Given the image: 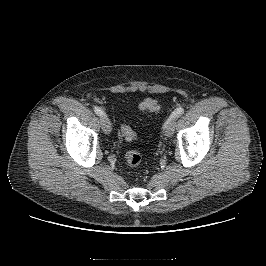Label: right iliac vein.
<instances>
[{
  "mask_svg": "<svg viewBox=\"0 0 266 266\" xmlns=\"http://www.w3.org/2000/svg\"><path fill=\"white\" fill-rule=\"evenodd\" d=\"M101 126L105 134H109L111 132L110 120L105 115L101 117Z\"/></svg>",
  "mask_w": 266,
  "mask_h": 266,
  "instance_id": "63e3f726",
  "label": "right iliac vein"
}]
</instances>
